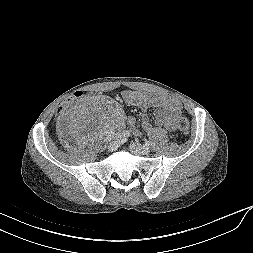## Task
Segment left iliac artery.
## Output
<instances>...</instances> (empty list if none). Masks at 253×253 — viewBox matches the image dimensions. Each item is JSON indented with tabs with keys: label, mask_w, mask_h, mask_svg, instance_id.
Returning a JSON list of instances; mask_svg holds the SVG:
<instances>
[{
	"label": "left iliac artery",
	"mask_w": 253,
	"mask_h": 253,
	"mask_svg": "<svg viewBox=\"0 0 253 253\" xmlns=\"http://www.w3.org/2000/svg\"><path fill=\"white\" fill-rule=\"evenodd\" d=\"M146 145L148 146L152 145V141L151 140L146 141Z\"/></svg>",
	"instance_id": "44dca946"
}]
</instances>
